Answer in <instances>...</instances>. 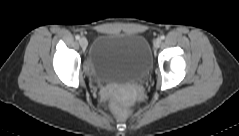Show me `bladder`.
Returning <instances> with one entry per match:
<instances>
[{"label": "bladder", "instance_id": "obj_1", "mask_svg": "<svg viewBox=\"0 0 239 136\" xmlns=\"http://www.w3.org/2000/svg\"><path fill=\"white\" fill-rule=\"evenodd\" d=\"M151 69L152 54L143 35L109 31L95 38L88 64L91 75L108 80L143 78Z\"/></svg>", "mask_w": 239, "mask_h": 136}]
</instances>
